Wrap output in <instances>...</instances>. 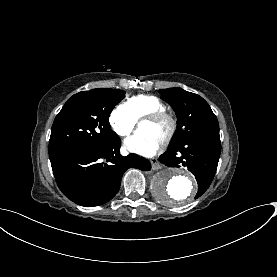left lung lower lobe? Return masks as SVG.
<instances>
[{
	"mask_svg": "<svg viewBox=\"0 0 277 277\" xmlns=\"http://www.w3.org/2000/svg\"><path fill=\"white\" fill-rule=\"evenodd\" d=\"M220 152L219 133H207L170 147L159 160L169 167H187L198 182L197 198L210 186L216 173Z\"/></svg>",
	"mask_w": 277,
	"mask_h": 277,
	"instance_id": "left-lung-lower-lobe-1",
	"label": "left lung lower lobe"
}]
</instances>
